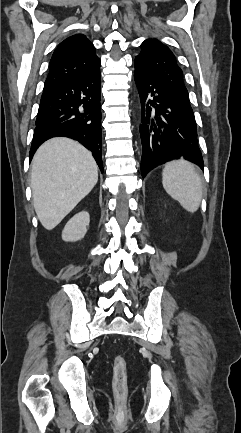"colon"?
<instances>
[{
    "mask_svg": "<svg viewBox=\"0 0 241 433\" xmlns=\"http://www.w3.org/2000/svg\"><path fill=\"white\" fill-rule=\"evenodd\" d=\"M113 390L122 399L128 391L127 364L121 355H116L113 364Z\"/></svg>",
    "mask_w": 241,
    "mask_h": 433,
    "instance_id": "colon-1",
    "label": "colon"
}]
</instances>
